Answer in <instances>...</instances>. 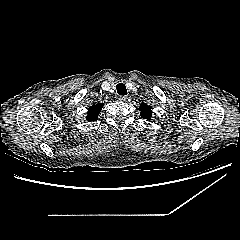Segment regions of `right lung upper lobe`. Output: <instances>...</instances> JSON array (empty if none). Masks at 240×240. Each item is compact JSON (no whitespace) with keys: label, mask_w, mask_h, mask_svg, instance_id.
Here are the masks:
<instances>
[{"label":"right lung upper lobe","mask_w":240,"mask_h":240,"mask_svg":"<svg viewBox=\"0 0 240 240\" xmlns=\"http://www.w3.org/2000/svg\"><path fill=\"white\" fill-rule=\"evenodd\" d=\"M103 107L102 103L94 104L88 109L87 120L88 121H96L98 119V115Z\"/></svg>","instance_id":"right-lung-upper-lobe-1"}]
</instances>
